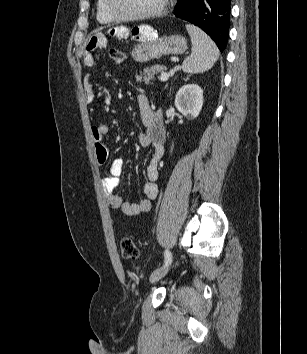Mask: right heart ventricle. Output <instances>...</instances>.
Listing matches in <instances>:
<instances>
[{"label":"right heart ventricle","instance_id":"right-heart-ventricle-1","mask_svg":"<svg viewBox=\"0 0 307 354\" xmlns=\"http://www.w3.org/2000/svg\"><path fill=\"white\" fill-rule=\"evenodd\" d=\"M96 18L100 23H104V24H109V23H112L116 20L109 13V11L107 9L106 0H97Z\"/></svg>","mask_w":307,"mask_h":354}]
</instances>
